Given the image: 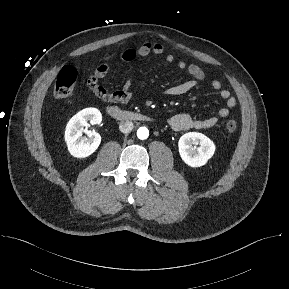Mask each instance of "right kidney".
I'll use <instances>...</instances> for the list:
<instances>
[{
	"instance_id": "ca27d5eb",
	"label": "right kidney",
	"mask_w": 289,
	"mask_h": 289,
	"mask_svg": "<svg viewBox=\"0 0 289 289\" xmlns=\"http://www.w3.org/2000/svg\"><path fill=\"white\" fill-rule=\"evenodd\" d=\"M102 121V115L96 108H86L75 114L67 123L65 141L70 154L76 158H85L93 154L101 143V136L95 131L87 132L88 137L83 136L84 127L88 122L98 125Z\"/></svg>"
}]
</instances>
